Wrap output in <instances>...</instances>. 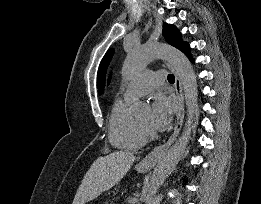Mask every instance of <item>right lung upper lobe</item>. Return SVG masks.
Returning a JSON list of instances; mask_svg holds the SVG:
<instances>
[{
	"label": "right lung upper lobe",
	"mask_w": 261,
	"mask_h": 204,
	"mask_svg": "<svg viewBox=\"0 0 261 204\" xmlns=\"http://www.w3.org/2000/svg\"><path fill=\"white\" fill-rule=\"evenodd\" d=\"M110 79H111V76L109 77V80H108V82H110Z\"/></svg>",
	"instance_id": "obj_1"
}]
</instances>
